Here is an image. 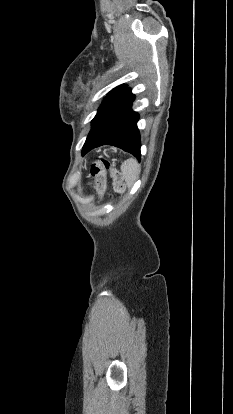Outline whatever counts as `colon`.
<instances>
[{
  "label": "colon",
  "mask_w": 233,
  "mask_h": 414,
  "mask_svg": "<svg viewBox=\"0 0 233 414\" xmlns=\"http://www.w3.org/2000/svg\"><path fill=\"white\" fill-rule=\"evenodd\" d=\"M110 171V174L113 178L114 188L117 191H121L123 189V178L121 173L113 168L109 161L107 160H97L91 166V176L96 179L98 185L102 183V177L104 174Z\"/></svg>",
  "instance_id": "obj_1"
}]
</instances>
